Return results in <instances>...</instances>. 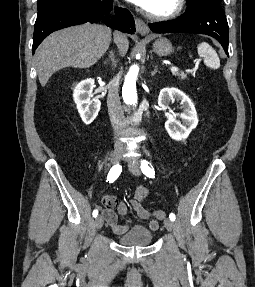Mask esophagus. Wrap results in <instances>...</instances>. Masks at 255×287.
<instances>
[{
    "mask_svg": "<svg viewBox=\"0 0 255 287\" xmlns=\"http://www.w3.org/2000/svg\"><path fill=\"white\" fill-rule=\"evenodd\" d=\"M135 25H136V30L140 35L148 36L150 30L147 24L143 20H141L140 18H136Z\"/></svg>",
    "mask_w": 255,
    "mask_h": 287,
    "instance_id": "34e87169",
    "label": "esophagus"
}]
</instances>
